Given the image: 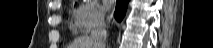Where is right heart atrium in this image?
Returning <instances> with one entry per match:
<instances>
[{
  "mask_svg": "<svg viewBox=\"0 0 213 48\" xmlns=\"http://www.w3.org/2000/svg\"><path fill=\"white\" fill-rule=\"evenodd\" d=\"M75 25L81 33H88L103 22V13L95 1L79 2L73 11Z\"/></svg>",
  "mask_w": 213,
  "mask_h": 48,
  "instance_id": "obj_1",
  "label": "right heart atrium"
}]
</instances>
